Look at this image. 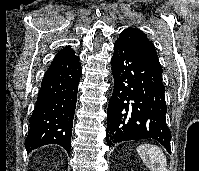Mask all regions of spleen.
Returning <instances> with one entry per match:
<instances>
[{
    "label": "spleen",
    "mask_w": 199,
    "mask_h": 171,
    "mask_svg": "<svg viewBox=\"0 0 199 171\" xmlns=\"http://www.w3.org/2000/svg\"><path fill=\"white\" fill-rule=\"evenodd\" d=\"M137 152L150 171H167V159L161 148L144 144L137 147Z\"/></svg>",
    "instance_id": "3e777b00"
}]
</instances>
